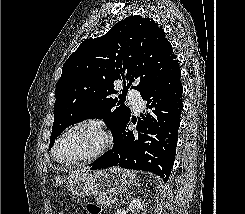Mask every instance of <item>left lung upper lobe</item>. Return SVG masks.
<instances>
[{
    "mask_svg": "<svg viewBox=\"0 0 245 214\" xmlns=\"http://www.w3.org/2000/svg\"><path fill=\"white\" fill-rule=\"evenodd\" d=\"M176 64L164 30L139 15L118 22L99 38L85 40L64 63L56 83L49 148L68 126L89 118L103 119L115 140L130 118L123 99L131 83L136 82L132 88L142 94ZM125 78L129 84L115 97L114 81Z\"/></svg>",
    "mask_w": 245,
    "mask_h": 214,
    "instance_id": "1",
    "label": "left lung upper lobe"
}]
</instances>
